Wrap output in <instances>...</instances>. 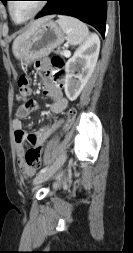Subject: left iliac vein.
<instances>
[{"mask_svg":"<svg viewBox=\"0 0 133 253\" xmlns=\"http://www.w3.org/2000/svg\"><path fill=\"white\" fill-rule=\"evenodd\" d=\"M66 159L67 155L66 153H63L51 168L35 177V179L33 180V185H40L41 183L51 178L63 166Z\"/></svg>","mask_w":133,"mask_h":253,"instance_id":"4c4485c4","label":"left iliac vein"}]
</instances>
